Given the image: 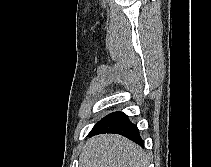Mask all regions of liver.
<instances>
[{"label":"liver","mask_w":211,"mask_h":167,"mask_svg":"<svg viewBox=\"0 0 211 167\" xmlns=\"http://www.w3.org/2000/svg\"><path fill=\"white\" fill-rule=\"evenodd\" d=\"M80 167H148L144 150L127 138L103 134L88 140L80 155Z\"/></svg>","instance_id":"obj_1"}]
</instances>
